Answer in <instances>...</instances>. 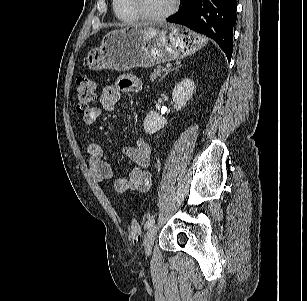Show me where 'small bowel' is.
Here are the masks:
<instances>
[{
  "label": "small bowel",
  "mask_w": 307,
  "mask_h": 301,
  "mask_svg": "<svg viewBox=\"0 0 307 301\" xmlns=\"http://www.w3.org/2000/svg\"><path fill=\"white\" fill-rule=\"evenodd\" d=\"M142 90L139 78L133 75H124L115 85H108L102 89L99 97L100 106L88 110L83 115V122L92 126L103 111H113L121 98L122 93H138ZM89 154V168L94 178L99 182L113 180V189L117 193L144 192L152 183L151 155L152 146L144 138H139L134 146L123 148L124 155L136 166L127 177H114L111 162L106 158L104 149L95 140L87 144Z\"/></svg>",
  "instance_id": "obj_1"
}]
</instances>
